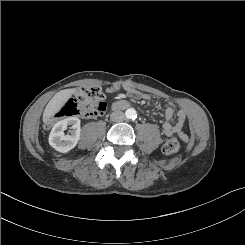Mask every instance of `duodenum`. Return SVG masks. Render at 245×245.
<instances>
[{
	"instance_id": "duodenum-1",
	"label": "duodenum",
	"mask_w": 245,
	"mask_h": 245,
	"mask_svg": "<svg viewBox=\"0 0 245 245\" xmlns=\"http://www.w3.org/2000/svg\"><path fill=\"white\" fill-rule=\"evenodd\" d=\"M130 105L128 103H123L121 105H118L115 107V109H126L128 108Z\"/></svg>"
}]
</instances>
